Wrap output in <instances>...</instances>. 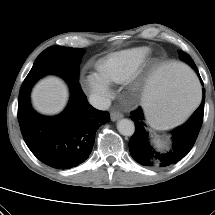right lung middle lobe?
Here are the masks:
<instances>
[{
	"label": "right lung middle lobe",
	"mask_w": 215,
	"mask_h": 215,
	"mask_svg": "<svg viewBox=\"0 0 215 215\" xmlns=\"http://www.w3.org/2000/svg\"><path fill=\"white\" fill-rule=\"evenodd\" d=\"M81 48L52 46L45 49L35 60L19 93L18 117L24 116L30 106V91L35 82L47 74H56L68 83L79 81Z\"/></svg>",
	"instance_id": "obj_1"
}]
</instances>
